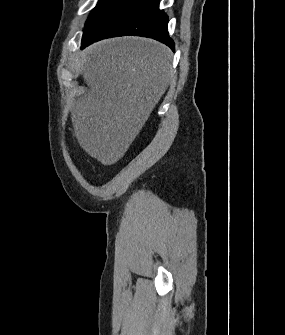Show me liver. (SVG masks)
<instances>
[{
    "label": "liver",
    "mask_w": 285,
    "mask_h": 335,
    "mask_svg": "<svg viewBox=\"0 0 285 335\" xmlns=\"http://www.w3.org/2000/svg\"><path fill=\"white\" fill-rule=\"evenodd\" d=\"M92 92L77 102L72 124L81 148L104 166L123 158L169 86L172 52L146 38H112L81 52Z\"/></svg>",
    "instance_id": "6515ba94"
}]
</instances>
